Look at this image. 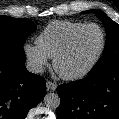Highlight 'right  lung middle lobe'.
I'll list each match as a JSON object with an SVG mask.
<instances>
[{
  "instance_id": "right-lung-middle-lobe-1",
  "label": "right lung middle lobe",
  "mask_w": 119,
  "mask_h": 119,
  "mask_svg": "<svg viewBox=\"0 0 119 119\" xmlns=\"http://www.w3.org/2000/svg\"><path fill=\"white\" fill-rule=\"evenodd\" d=\"M36 28L28 19L0 16V58L25 59L24 41Z\"/></svg>"
}]
</instances>
